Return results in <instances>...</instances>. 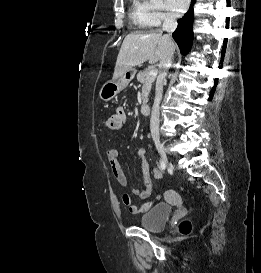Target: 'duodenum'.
I'll return each instance as SVG.
<instances>
[{
	"instance_id": "obj_1",
	"label": "duodenum",
	"mask_w": 261,
	"mask_h": 273,
	"mask_svg": "<svg viewBox=\"0 0 261 273\" xmlns=\"http://www.w3.org/2000/svg\"><path fill=\"white\" fill-rule=\"evenodd\" d=\"M140 110H141V113H142V114H144V115H149L150 112H151V107H150V105H149L148 103H143V104L141 105Z\"/></svg>"
}]
</instances>
